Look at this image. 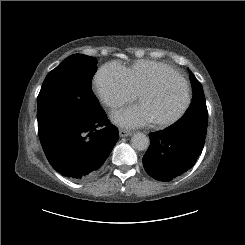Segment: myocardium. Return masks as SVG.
Here are the masks:
<instances>
[{"label":"myocardium","instance_id":"f54148a6","mask_svg":"<svg viewBox=\"0 0 245 245\" xmlns=\"http://www.w3.org/2000/svg\"><path fill=\"white\" fill-rule=\"evenodd\" d=\"M167 75H174L182 82V84L184 85V88H185L186 101H185V104L182 107V109L173 117L165 119V120L154 122V125L158 128H161V129L170 127V126L174 125L175 123H177L186 114V112L188 111V109L191 105V102H192V93H191V88H190L189 82L179 71H177L174 68H170V69L158 74V76L156 77L155 81L152 84L146 86L145 88H143L138 93V99L144 94H149V93L159 91V89H160L159 81Z\"/></svg>","mask_w":245,"mask_h":245}]
</instances>
